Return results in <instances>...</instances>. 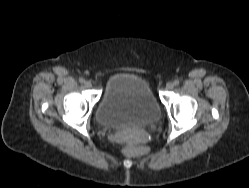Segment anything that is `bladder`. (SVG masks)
Listing matches in <instances>:
<instances>
[{
	"mask_svg": "<svg viewBox=\"0 0 249 188\" xmlns=\"http://www.w3.org/2000/svg\"><path fill=\"white\" fill-rule=\"evenodd\" d=\"M160 106L148 81L129 73L111 76L97 107V120L105 127H143L156 123Z\"/></svg>",
	"mask_w": 249,
	"mask_h": 188,
	"instance_id": "31cf9c89",
	"label": "bladder"
}]
</instances>
